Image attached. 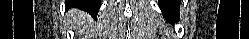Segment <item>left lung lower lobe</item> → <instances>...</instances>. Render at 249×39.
Instances as JSON below:
<instances>
[{
    "mask_svg": "<svg viewBox=\"0 0 249 39\" xmlns=\"http://www.w3.org/2000/svg\"><path fill=\"white\" fill-rule=\"evenodd\" d=\"M179 2L175 0H163L159 1L160 9L162 10V14L166 17L173 16L174 11L177 12L179 9Z\"/></svg>",
    "mask_w": 249,
    "mask_h": 39,
    "instance_id": "1",
    "label": "left lung lower lobe"
}]
</instances>
